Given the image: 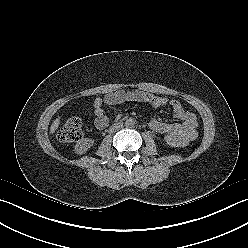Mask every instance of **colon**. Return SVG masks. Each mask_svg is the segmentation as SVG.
Instances as JSON below:
<instances>
[{"mask_svg": "<svg viewBox=\"0 0 248 248\" xmlns=\"http://www.w3.org/2000/svg\"><path fill=\"white\" fill-rule=\"evenodd\" d=\"M57 137L62 142L79 141L83 137L81 120L77 117L68 119L58 129ZM165 142L171 147H179L183 145V142L179 137L170 134L165 135Z\"/></svg>", "mask_w": 248, "mask_h": 248, "instance_id": "colon-1", "label": "colon"}]
</instances>
